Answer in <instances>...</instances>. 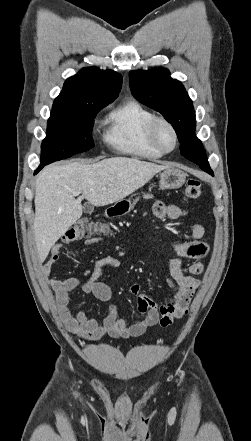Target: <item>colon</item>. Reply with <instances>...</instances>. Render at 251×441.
<instances>
[{
  "label": "colon",
  "instance_id": "1",
  "mask_svg": "<svg viewBox=\"0 0 251 441\" xmlns=\"http://www.w3.org/2000/svg\"><path fill=\"white\" fill-rule=\"evenodd\" d=\"M200 194V181L197 179H189L185 188V198L188 200L196 199ZM106 233H108V227L104 223L84 218L77 221L65 232L63 240L66 243H70Z\"/></svg>",
  "mask_w": 251,
  "mask_h": 441
}]
</instances>
